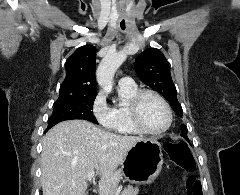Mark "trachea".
I'll return each mask as SVG.
<instances>
[{
    "label": "trachea",
    "mask_w": 240,
    "mask_h": 195,
    "mask_svg": "<svg viewBox=\"0 0 240 195\" xmlns=\"http://www.w3.org/2000/svg\"><path fill=\"white\" fill-rule=\"evenodd\" d=\"M121 29H122V30H125V26H121Z\"/></svg>",
    "instance_id": "obj_1"
}]
</instances>
